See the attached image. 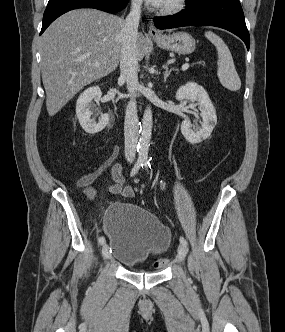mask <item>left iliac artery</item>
I'll list each match as a JSON object with an SVG mask.
<instances>
[{
    "instance_id": "1",
    "label": "left iliac artery",
    "mask_w": 285,
    "mask_h": 332,
    "mask_svg": "<svg viewBox=\"0 0 285 332\" xmlns=\"http://www.w3.org/2000/svg\"><path fill=\"white\" fill-rule=\"evenodd\" d=\"M144 165H145V168H146V170H148V168H151V165H150V163L149 162H145L144 163ZM180 243L185 247V248H187V241H186V239H184V237H180Z\"/></svg>"
}]
</instances>
